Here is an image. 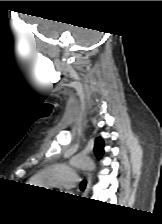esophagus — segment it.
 Listing matches in <instances>:
<instances>
[{"label": "esophagus", "instance_id": "34e87169", "mask_svg": "<svg viewBox=\"0 0 162 224\" xmlns=\"http://www.w3.org/2000/svg\"><path fill=\"white\" fill-rule=\"evenodd\" d=\"M90 183H91V174L88 173L87 174V185H86V189H85V193L84 195H87L89 188H90Z\"/></svg>", "mask_w": 162, "mask_h": 224}]
</instances>
